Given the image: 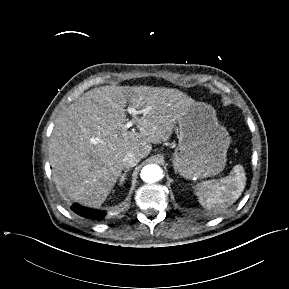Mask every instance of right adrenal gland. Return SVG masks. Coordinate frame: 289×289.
Wrapping results in <instances>:
<instances>
[{
  "instance_id": "right-adrenal-gland-1",
  "label": "right adrenal gland",
  "mask_w": 289,
  "mask_h": 289,
  "mask_svg": "<svg viewBox=\"0 0 289 289\" xmlns=\"http://www.w3.org/2000/svg\"><path fill=\"white\" fill-rule=\"evenodd\" d=\"M128 172V170H125L124 173L121 175L120 180H119V184L120 186L123 185V182L125 181V177H126V173Z\"/></svg>"
}]
</instances>
